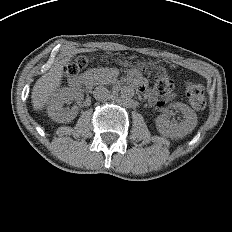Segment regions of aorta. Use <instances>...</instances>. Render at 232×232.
I'll return each mask as SVG.
<instances>
[{"instance_id":"obj_1","label":"aorta","mask_w":232,"mask_h":232,"mask_svg":"<svg viewBox=\"0 0 232 232\" xmlns=\"http://www.w3.org/2000/svg\"><path fill=\"white\" fill-rule=\"evenodd\" d=\"M134 93L135 92H134V89L132 87L124 86L121 88L120 97L124 101H129L133 98Z\"/></svg>"}]
</instances>
